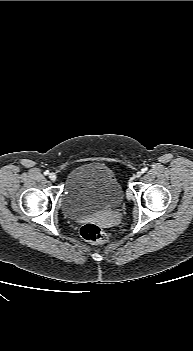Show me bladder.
I'll return each instance as SVG.
<instances>
[{
  "mask_svg": "<svg viewBox=\"0 0 193 351\" xmlns=\"http://www.w3.org/2000/svg\"><path fill=\"white\" fill-rule=\"evenodd\" d=\"M123 200V190L114 172L101 163H87L67 176L60 204L71 219L115 208Z\"/></svg>",
  "mask_w": 193,
  "mask_h": 351,
  "instance_id": "31cf9c89",
  "label": "bladder"
}]
</instances>
